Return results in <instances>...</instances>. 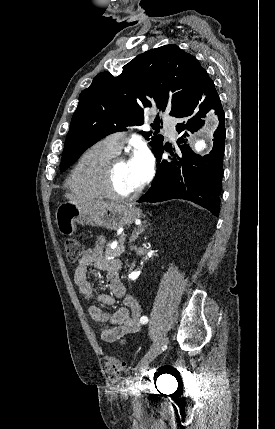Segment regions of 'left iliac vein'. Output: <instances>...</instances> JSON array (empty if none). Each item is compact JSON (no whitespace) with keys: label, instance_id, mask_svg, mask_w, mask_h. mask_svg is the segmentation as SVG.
I'll use <instances>...</instances> for the list:
<instances>
[{"label":"left iliac vein","instance_id":"1","mask_svg":"<svg viewBox=\"0 0 275 429\" xmlns=\"http://www.w3.org/2000/svg\"><path fill=\"white\" fill-rule=\"evenodd\" d=\"M168 338H163L160 344H153L150 350L146 355L140 360L137 365L136 375H140L143 371L146 370L151 361L161 352L167 348Z\"/></svg>","mask_w":275,"mask_h":429}]
</instances>
